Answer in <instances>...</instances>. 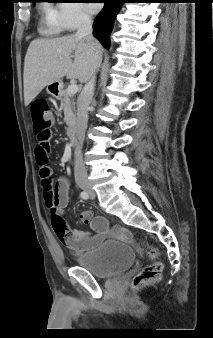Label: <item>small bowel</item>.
I'll return each mask as SVG.
<instances>
[{"label": "small bowel", "instance_id": "1", "mask_svg": "<svg viewBox=\"0 0 213 338\" xmlns=\"http://www.w3.org/2000/svg\"><path fill=\"white\" fill-rule=\"evenodd\" d=\"M50 142L49 140L45 142H39V145L36 147V153L39 152L40 156L47 157L50 152ZM68 191H69V182L66 177H61L57 181L55 188V196L57 202V213L59 216H63L64 210L68 205ZM79 219L85 223H90L92 219V213L88 210H83L79 214ZM97 219L103 224L101 228L96 229L95 235L83 231L81 229L71 230L64 223L62 228L55 229L56 234L60 242L65 244L68 248L75 252L89 251L93 249L97 244L104 240L106 237L105 229V218L98 216ZM118 236L121 238H129L130 233L125 228H118Z\"/></svg>", "mask_w": 213, "mask_h": 338}]
</instances>
